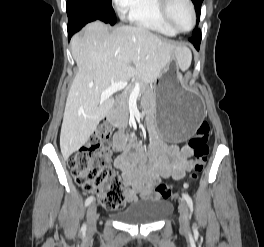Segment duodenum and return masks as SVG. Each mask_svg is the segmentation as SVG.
Instances as JSON below:
<instances>
[{
	"mask_svg": "<svg viewBox=\"0 0 264 247\" xmlns=\"http://www.w3.org/2000/svg\"><path fill=\"white\" fill-rule=\"evenodd\" d=\"M107 120H108L110 123H114L113 119L110 118V117H107Z\"/></svg>",
	"mask_w": 264,
	"mask_h": 247,
	"instance_id": "410a0bca",
	"label": "duodenum"
}]
</instances>
